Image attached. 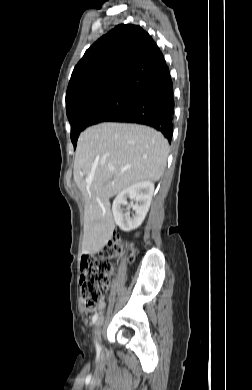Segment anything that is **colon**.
Returning a JSON list of instances; mask_svg holds the SVG:
<instances>
[{
    "instance_id": "colon-1",
    "label": "colon",
    "mask_w": 252,
    "mask_h": 390,
    "mask_svg": "<svg viewBox=\"0 0 252 390\" xmlns=\"http://www.w3.org/2000/svg\"><path fill=\"white\" fill-rule=\"evenodd\" d=\"M123 245V240L119 236H114L97 256H88L83 260L80 285L84 307L88 312L95 311L102 303L112 275L110 260L122 251ZM134 253L133 250L129 260L133 259Z\"/></svg>"
}]
</instances>
